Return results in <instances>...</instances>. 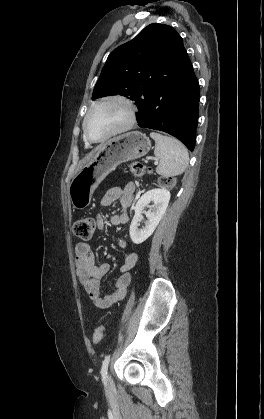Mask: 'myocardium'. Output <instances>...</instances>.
I'll return each mask as SVG.
<instances>
[{
  "label": "myocardium",
  "instance_id": "f54148a6",
  "mask_svg": "<svg viewBox=\"0 0 264 419\" xmlns=\"http://www.w3.org/2000/svg\"><path fill=\"white\" fill-rule=\"evenodd\" d=\"M120 103L122 104L126 110H127V120L126 122L118 127L117 129L113 130L112 132H110L109 134H107L106 136L100 138V139H92L87 131V121L91 115V113L97 108L100 107L102 105L108 104V103ZM136 115H137V108L134 104V102L128 98L125 95L122 94H112V95H108V96H104L100 99H98L97 101H95L88 109L84 119H83V124H82V128H83V134L84 137L86 139L87 142L91 143V144H98V143H103L108 141L109 139L116 137L120 134H123L127 131H129L135 124L136 122Z\"/></svg>",
  "mask_w": 264,
  "mask_h": 419
}]
</instances>
